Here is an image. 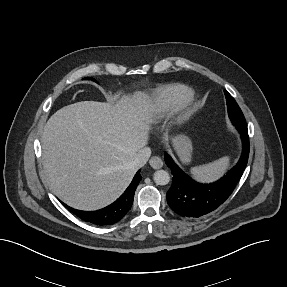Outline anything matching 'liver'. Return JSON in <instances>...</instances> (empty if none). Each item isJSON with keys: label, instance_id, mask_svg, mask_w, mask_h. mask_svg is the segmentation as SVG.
<instances>
[{"label": "liver", "instance_id": "obj_1", "mask_svg": "<svg viewBox=\"0 0 287 287\" xmlns=\"http://www.w3.org/2000/svg\"><path fill=\"white\" fill-rule=\"evenodd\" d=\"M153 112L138 92L117 104L82 101L55 112L42 134L43 167L53 192L69 206L97 210L115 201L148 142Z\"/></svg>", "mask_w": 287, "mask_h": 287}]
</instances>
